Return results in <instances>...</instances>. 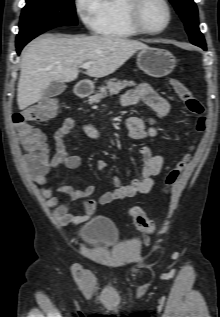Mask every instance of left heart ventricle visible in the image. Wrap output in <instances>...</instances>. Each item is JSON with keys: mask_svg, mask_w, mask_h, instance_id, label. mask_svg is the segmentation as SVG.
I'll use <instances>...</instances> for the list:
<instances>
[{"mask_svg": "<svg viewBox=\"0 0 220 317\" xmlns=\"http://www.w3.org/2000/svg\"><path fill=\"white\" fill-rule=\"evenodd\" d=\"M144 24L150 29L162 28L167 20V12L159 0H147L142 9Z\"/></svg>", "mask_w": 220, "mask_h": 317, "instance_id": "left-heart-ventricle-1", "label": "left heart ventricle"}]
</instances>
